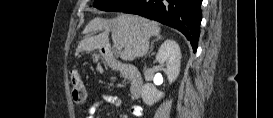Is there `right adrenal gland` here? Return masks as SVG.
Segmentation results:
<instances>
[{"mask_svg": "<svg viewBox=\"0 0 273 118\" xmlns=\"http://www.w3.org/2000/svg\"><path fill=\"white\" fill-rule=\"evenodd\" d=\"M159 40H162V36H160V35L157 36V38H156L153 42H151L150 51L153 50L154 42H157V41H159Z\"/></svg>", "mask_w": 273, "mask_h": 118, "instance_id": "1", "label": "right adrenal gland"}]
</instances>
